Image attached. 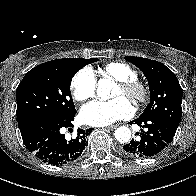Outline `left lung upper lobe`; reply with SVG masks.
Returning a JSON list of instances; mask_svg holds the SVG:
<instances>
[{"label":"left lung upper lobe","mask_w":196,"mask_h":196,"mask_svg":"<svg viewBox=\"0 0 196 196\" xmlns=\"http://www.w3.org/2000/svg\"><path fill=\"white\" fill-rule=\"evenodd\" d=\"M124 59L137 66L148 80L151 100L140 117H161L178 126L183 90L175 74L158 61L132 56Z\"/></svg>","instance_id":"left-lung-upper-lobe-1"}]
</instances>
